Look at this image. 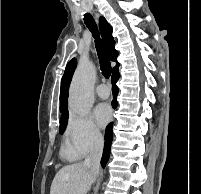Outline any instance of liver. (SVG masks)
<instances>
[{"mask_svg":"<svg viewBox=\"0 0 201 194\" xmlns=\"http://www.w3.org/2000/svg\"><path fill=\"white\" fill-rule=\"evenodd\" d=\"M95 178L84 163L66 165L56 173L50 194H87Z\"/></svg>","mask_w":201,"mask_h":194,"instance_id":"1","label":"liver"}]
</instances>
